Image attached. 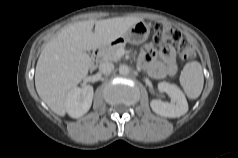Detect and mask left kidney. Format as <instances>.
<instances>
[{
  "label": "left kidney",
  "mask_w": 238,
  "mask_h": 158,
  "mask_svg": "<svg viewBox=\"0 0 238 158\" xmlns=\"http://www.w3.org/2000/svg\"><path fill=\"white\" fill-rule=\"evenodd\" d=\"M158 89L161 92L167 93L171 98V102H163L158 99L152 100L150 106L156 114L168 118H176L187 113L188 103L179 87L168 82H160Z\"/></svg>",
  "instance_id": "left-kidney-1"
}]
</instances>
